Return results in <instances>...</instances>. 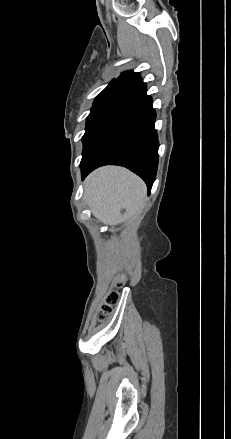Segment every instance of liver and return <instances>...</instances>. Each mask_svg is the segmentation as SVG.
I'll use <instances>...</instances> for the list:
<instances>
[{
	"label": "liver",
	"instance_id": "liver-1",
	"mask_svg": "<svg viewBox=\"0 0 231 439\" xmlns=\"http://www.w3.org/2000/svg\"><path fill=\"white\" fill-rule=\"evenodd\" d=\"M145 183L134 173L117 166L93 171L85 180V198L92 214L104 224L117 225L144 207ZM125 209L122 215L121 210Z\"/></svg>",
	"mask_w": 231,
	"mask_h": 439
}]
</instances>
